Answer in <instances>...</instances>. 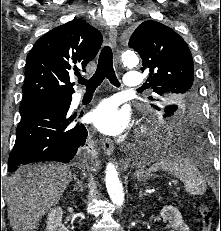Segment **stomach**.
I'll return each instance as SVG.
<instances>
[{
	"mask_svg": "<svg viewBox=\"0 0 221 231\" xmlns=\"http://www.w3.org/2000/svg\"><path fill=\"white\" fill-rule=\"evenodd\" d=\"M135 177L138 181L144 182L150 178V174L144 170H138L135 172Z\"/></svg>",
	"mask_w": 221,
	"mask_h": 231,
	"instance_id": "stomach-1",
	"label": "stomach"
}]
</instances>
